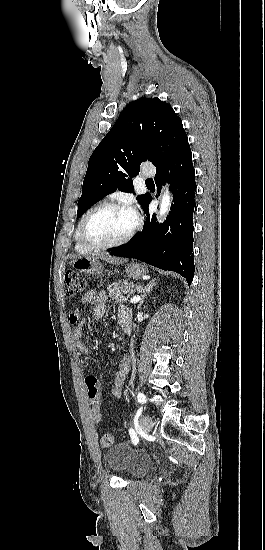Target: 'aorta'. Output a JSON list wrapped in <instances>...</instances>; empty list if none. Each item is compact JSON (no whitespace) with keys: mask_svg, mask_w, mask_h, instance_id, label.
Here are the masks:
<instances>
[{"mask_svg":"<svg viewBox=\"0 0 265 550\" xmlns=\"http://www.w3.org/2000/svg\"><path fill=\"white\" fill-rule=\"evenodd\" d=\"M171 199H172L171 194L169 193V191L166 190L162 195V199L160 203L159 221H162L168 214L170 210Z\"/></svg>","mask_w":265,"mask_h":550,"instance_id":"1","label":"aorta"}]
</instances>
